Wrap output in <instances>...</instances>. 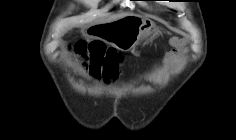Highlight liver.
I'll use <instances>...</instances> for the list:
<instances>
[{
  "label": "liver",
  "instance_id": "obj_1",
  "mask_svg": "<svg viewBox=\"0 0 236 140\" xmlns=\"http://www.w3.org/2000/svg\"><path fill=\"white\" fill-rule=\"evenodd\" d=\"M120 17H122V16H121V15H113V16H111V17L108 19V21L116 20V19H118V18H120Z\"/></svg>",
  "mask_w": 236,
  "mask_h": 140
}]
</instances>
